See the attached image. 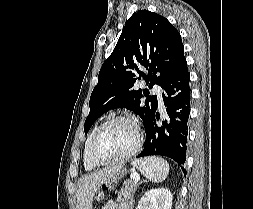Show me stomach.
<instances>
[{
	"mask_svg": "<svg viewBox=\"0 0 253 209\" xmlns=\"http://www.w3.org/2000/svg\"><path fill=\"white\" fill-rule=\"evenodd\" d=\"M128 176V171H122L120 174H113L107 178L104 183H101L100 192H113V188H117L116 182H122L123 177Z\"/></svg>",
	"mask_w": 253,
	"mask_h": 209,
	"instance_id": "0dacf381",
	"label": "stomach"
}]
</instances>
